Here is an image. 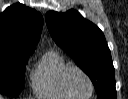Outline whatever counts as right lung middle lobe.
Returning <instances> with one entry per match:
<instances>
[{
    "label": "right lung middle lobe",
    "instance_id": "dd1d6c3e",
    "mask_svg": "<svg viewBox=\"0 0 128 99\" xmlns=\"http://www.w3.org/2000/svg\"><path fill=\"white\" fill-rule=\"evenodd\" d=\"M30 54L0 53V93L17 97L24 88V73Z\"/></svg>",
    "mask_w": 128,
    "mask_h": 99
}]
</instances>
